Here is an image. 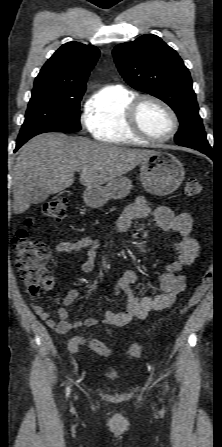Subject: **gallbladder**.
<instances>
[{
	"mask_svg": "<svg viewBox=\"0 0 222 447\" xmlns=\"http://www.w3.org/2000/svg\"><path fill=\"white\" fill-rule=\"evenodd\" d=\"M49 197V194L42 188H37L33 192L31 204H39L44 202Z\"/></svg>",
	"mask_w": 222,
	"mask_h": 447,
	"instance_id": "gallbladder-1",
	"label": "gallbladder"
}]
</instances>
